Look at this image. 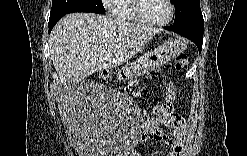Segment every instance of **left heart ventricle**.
<instances>
[{
    "instance_id": "b2bd125f",
    "label": "left heart ventricle",
    "mask_w": 247,
    "mask_h": 156,
    "mask_svg": "<svg viewBox=\"0 0 247 156\" xmlns=\"http://www.w3.org/2000/svg\"><path fill=\"white\" fill-rule=\"evenodd\" d=\"M142 13L152 20H164L169 15V8L164 0H150L142 3Z\"/></svg>"
}]
</instances>
